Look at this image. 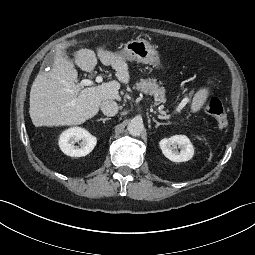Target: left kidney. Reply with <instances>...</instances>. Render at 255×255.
<instances>
[{
  "label": "left kidney",
  "instance_id": "5707ae66",
  "mask_svg": "<svg viewBox=\"0 0 255 255\" xmlns=\"http://www.w3.org/2000/svg\"><path fill=\"white\" fill-rule=\"evenodd\" d=\"M162 153L173 162H185L190 160L194 154V148L185 135H175L164 138L159 143ZM180 148V151H177Z\"/></svg>",
  "mask_w": 255,
  "mask_h": 255
}]
</instances>
